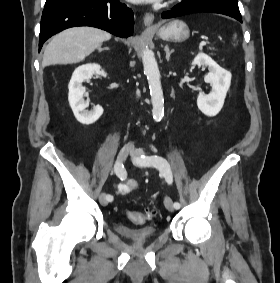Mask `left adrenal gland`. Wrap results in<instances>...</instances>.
<instances>
[{"mask_svg":"<svg viewBox=\"0 0 280 283\" xmlns=\"http://www.w3.org/2000/svg\"><path fill=\"white\" fill-rule=\"evenodd\" d=\"M164 51L166 53V60L169 61L170 55L173 53L174 50H170L168 45L164 47Z\"/></svg>","mask_w":280,"mask_h":283,"instance_id":"1","label":"left adrenal gland"}]
</instances>
